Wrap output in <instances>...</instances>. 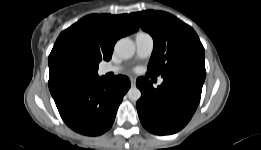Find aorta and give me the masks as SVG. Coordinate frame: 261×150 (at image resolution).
Here are the masks:
<instances>
[{
	"instance_id": "aorta-1",
	"label": "aorta",
	"mask_w": 261,
	"mask_h": 150,
	"mask_svg": "<svg viewBox=\"0 0 261 150\" xmlns=\"http://www.w3.org/2000/svg\"><path fill=\"white\" fill-rule=\"evenodd\" d=\"M114 50L120 58L129 59L135 53V44L129 38H122L116 42ZM127 95L131 101H137L141 97V91L137 87H131Z\"/></svg>"
}]
</instances>
